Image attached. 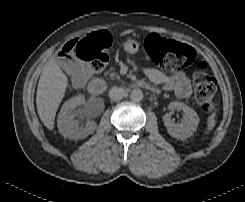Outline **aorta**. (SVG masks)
I'll return each instance as SVG.
<instances>
[{
	"label": "aorta",
	"instance_id": "obj_1",
	"mask_svg": "<svg viewBox=\"0 0 245 202\" xmlns=\"http://www.w3.org/2000/svg\"><path fill=\"white\" fill-rule=\"evenodd\" d=\"M130 98L134 102H139L143 99V92L140 89H134L131 91Z\"/></svg>",
	"mask_w": 245,
	"mask_h": 202
}]
</instances>
